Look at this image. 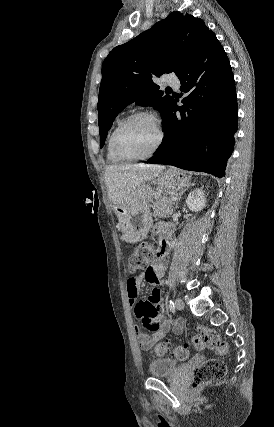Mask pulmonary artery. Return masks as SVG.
<instances>
[{
  "label": "pulmonary artery",
  "instance_id": "obj_1",
  "mask_svg": "<svg viewBox=\"0 0 274 427\" xmlns=\"http://www.w3.org/2000/svg\"><path fill=\"white\" fill-rule=\"evenodd\" d=\"M167 82H168L170 85H174V84L177 82V79H176L174 76H170V77L167 79ZM176 87H178V85H176Z\"/></svg>",
  "mask_w": 274,
  "mask_h": 427
}]
</instances>
